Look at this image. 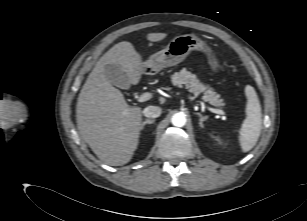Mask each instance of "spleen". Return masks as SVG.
I'll return each mask as SVG.
<instances>
[{"label":"spleen","mask_w":307,"mask_h":221,"mask_svg":"<svg viewBox=\"0 0 307 221\" xmlns=\"http://www.w3.org/2000/svg\"><path fill=\"white\" fill-rule=\"evenodd\" d=\"M245 95L247 97L246 118L239 131V143L244 153L256 145L262 129L261 105L255 89L247 85Z\"/></svg>","instance_id":"spleen-1"}]
</instances>
